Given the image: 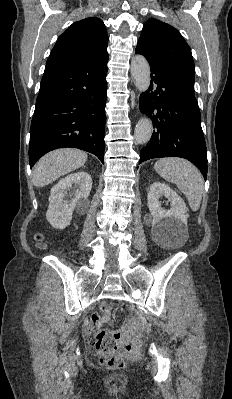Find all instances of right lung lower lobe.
Wrapping results in <instances>:
<instances>
[{
    "instance_id": "1",
    "label": "right lung lower lobe",
    "mask_w": 232,
    "mask_h": 399,
    "mask_svg": "<svg viewBox=\"0 0 232 399\" xmlns=\"http://www.w3.org/2000/svg\"><path fill=\"white\" fill-rule=\"evenodd\" d=\"M107 62L46 65L30 128V166L63 147L88 151L103 163Z\"/></svg>"
}]
</instances>
